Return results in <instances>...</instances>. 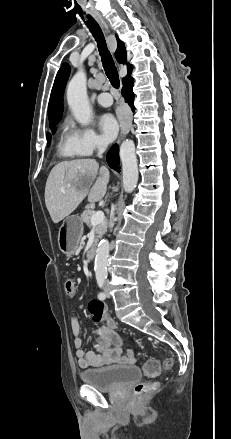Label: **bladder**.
<instances>
[{
  "label": "bladder",
  "instance_id": "31cf9c89",
  "mask_svg": "<svg viewBox=\"0 0 231 439\" xmlns=\"http://www.w3.org/2000/svg\"><path fill=\"white\" fill-rule=\"evenodd\" d=\"M140 370L136 366H109L82 371L81 381L101 391H115L122 386L140 378Z\"/></svg>",
  "mask_w": 231,
  "mask_h": 439
}]
</instances>
